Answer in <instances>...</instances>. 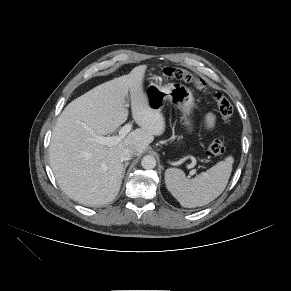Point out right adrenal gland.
Wrapping results in <instances>:
<instances>
[{
    "instance_id": "right-adrenal-gland-1",
    "label": "right adrenal gland",
    "mask_w": 291,
    "mask_h": 291,
    "mask_svg": "<svg viewBox=\"0 0 291 291\" xmlns=\"http://www.w3.org/2000/svg\"><path fill=\"white\" fill-rule=\"evenodd\" d=\"M128 165H129V162H126V163L124 164L122 177L125 176L126 168L128 167Z\"/></svg>"
}]
</instances>
